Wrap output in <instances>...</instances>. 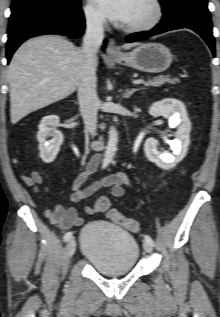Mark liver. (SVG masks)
<instances>
[{"instance_id": "6515ba94", "label": "liver", "mask_w": 220, "mask_h": 317, "mask_svg": "<svg viewBox=\"0 0 220 317\" xmlns=\"http://www.w3.org/2000/svg\"><path fill=\"white\" fill-rule=\"evenodd\" d=\"M137 45L133 42L122 47ZM81 50L56 35L32 38L18 48L8 67L12 124L76 90L84 63Z\"/></svg>"}]
</instances>
